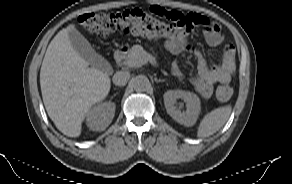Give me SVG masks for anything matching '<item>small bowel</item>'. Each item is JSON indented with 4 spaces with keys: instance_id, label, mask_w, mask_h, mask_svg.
Listing matches in <instances>:
<instances>
[{
    "instance_id": "1",
    "label": "small bowel",
    "mask_w": 292,
    "mask_h": 184,
    "mask_svg": "<svg viewBox=\"0 0 292 184\" xmlns=\"http://www.w3.org/2000/svg\"><path fill=\"white\" fill-rule=\"evenodd\" d=\"M189 17L193 20V26L203 28L205 40L210 46H217L222 43L223 36L220 26L216 22L198 13L189 14ZM165 47L174 56H179L188 50L195 55L197 59V72L190 78V81L204 97H210L212 95L215 84L229 83L235 73V49L232 45L225 47L220 64L209 63L198 48L191 47L187 44V30L175 31L165 41ZM172 68L176 75H182L177 62L173 63Z\"/></svg>"
}]
</instances>
